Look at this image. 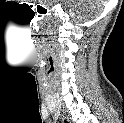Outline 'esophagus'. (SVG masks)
I'll list each match as a JSON object with an SVG mask.
<instances>
[{"label":"esophagus","instance_id":"obj_1","mask_svg":"<svg viewBox=\"0 0 124 123\" xmlns=\"http://www.w3.org/2000/svg\"><path fill=\"white\" fill-rule=\"evenodd\" d=\"M62 122L63 123H70L69 119L66 117V115L64 113L62 114Z\"/></svg>","mask_w":124,"mask_h":123}]
</instances>
